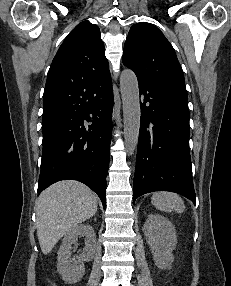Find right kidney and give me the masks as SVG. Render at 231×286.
Segmentation results:
<instances>
[{
    "mask_svg": "<svg viewBox=\"0 0 231 286\" xmlns=\"http://www.w3.org/2000/svg\"><path fill=\"white\" fill-rule=\"evenodd\" d=\"M78 237H85V246L79 257L71 258L72 244ZM96 248V235L90 225H78L67 233L58 251L57 269L66 283H76L85 273L84 261L94 258Z\"/></svg>",
    "mask_w": 231,
    "mask_h": 286,
    "instance_id": "right-kidney-1",
    "label": "right kidney"
}]
</instances>
